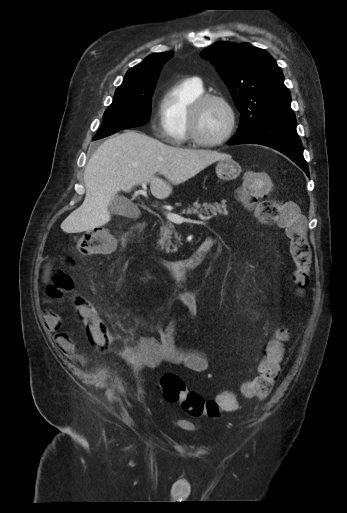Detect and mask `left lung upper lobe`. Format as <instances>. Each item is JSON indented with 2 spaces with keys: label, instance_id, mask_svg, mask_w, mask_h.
<instances>
[{
  "label": "left lung upper lobe",
  "instance_id": "obj_1",
  "mask_svg": "<svg viewBox=\"0 0 347 513\" xmlns=\"http://www.w3.org/2000/svg\"><path fill=\"white\" fill-rule=\"evenodd\" d=\"M215 66L241 113L235 136L273 119H292L291 95L268 52L248 43L217 42L201 52Z\"/></svg>",
  "mask_w": 347,
  "mask_h": 513
}]
</instances>
